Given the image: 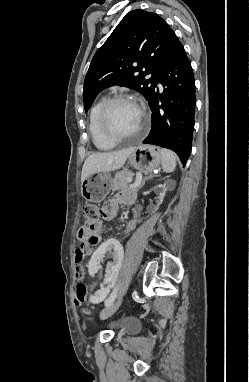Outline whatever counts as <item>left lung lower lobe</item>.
<instances>
[{
	"label": "left lung lower lobe",
	"mask_w": 249,
	"mask_h": 382,
	"mask_svg": "<svg viewBox=\"0 0 249 382\" xmlns=\"http://www.w3.org/2000/svg\"><path fill=\"white\" fill-rule=\"evenodd\" d=\"M160 82L165 88L159 93ZM152 128L143 141L175 151L185 165L191 153L195 112V82L191 64L179 40L163 64L147 100Z\"/></svg>",
	"instance_id": "left-lung-lower-lobe-1"
}]
</instances>
